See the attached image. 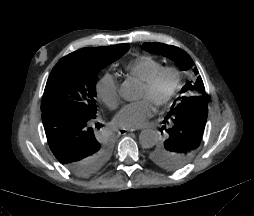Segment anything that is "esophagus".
Listing matches in <instances>:
<instances>
[{
  "label": "esophagus",
  "instance_id": "esophagus-1",
  "mask_svg": "<svg viewBox=\"0 0 254 216\" xmlns=\"http://www.w3.org/2000/svg\"><path fill=\"white\" fill-rule=\"evenodd\" d=\"M134 131V129L131 130H121L119 131L120 134L125 135L127 132Z\"/></svg>",
  "mask_w": 254,
  "mask_h": 216
}]
</instances>
